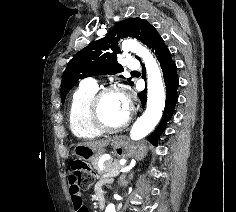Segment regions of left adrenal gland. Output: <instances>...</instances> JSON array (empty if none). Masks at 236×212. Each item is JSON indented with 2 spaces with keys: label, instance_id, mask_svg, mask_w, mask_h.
I'll list each match as a JSON object with an SVG mask.
<instances>
[{
  "label": "left adrenal gland",
  "instance_id": "obj_1",
  "mask_svg": "<svg viewBox=\"0 0 236 212\" xmlns=\"http://www.w3.org/2000/svg\"><path fill=\"white\" fill-rule=\"evenodd\" d=\"M126 174H123L120 178H119V185L121 186H127L128 181L125 180ZM133 174L130 175L129 179H132Z\"/></svg>",
  "mask_w": 236,
  "mask_h": 212
}]
</instances>
